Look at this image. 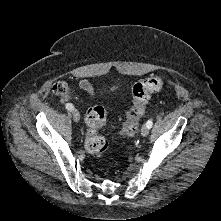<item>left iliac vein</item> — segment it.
I'll list each match as a JSON object with an SVG mask.
<instances>
[{
	"instance_id": "left-iliac-vein-1",
	"label": "left iliac vein",
	"mask_w": 221,
	"mask_h": 221,
	"mask_svg": "<svg viewBox=\"0 0 221 221\" xmlns=\"http://www.w3.org/2000/svg\"><path fill=\"white\" fill-rule=\"evenodd\" d=\"M149 134V128L146 125H143L141 128V135L143 137L147 136Z\"/></svg>"
}]
</instances>
